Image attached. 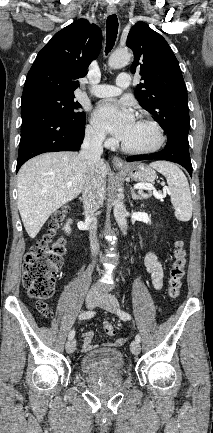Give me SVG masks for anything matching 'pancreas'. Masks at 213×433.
I'll return each mask as SVG.
<instances>
[{"instance_id":"1","label":"pancreas","mask_w":213,"mask_h":433,"mask_svg":"<svg viewBox=\"0 0 213 433\" xmlns=\"http://www.w3.org/2000/svg\"><path fill=\"white\" fill-rule=\"evenodd\" d=\"M141 195H142V197H145V194H143L142 192H141ZM151 195H152V192L149 191L147 197H150Z\"/></svg>"}]
</instances>
